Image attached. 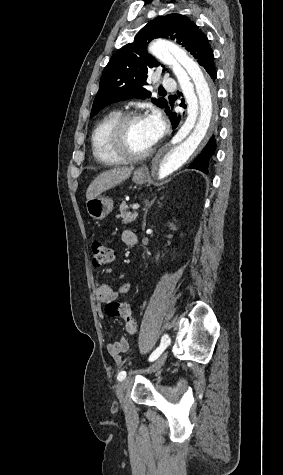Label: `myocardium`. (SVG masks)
I'll return each mask as SVG.
<instances>
[{"label": "myocardium", "mask_w": 283, "mask_h": 475, "mask_svg": "<svg viewBox=\"0 0 283 475\" xmlns=\"http://www.w3.org/2000/svg\"><path fill=\"white\" fill-rule=\"evenodd\" d=\"M141 111H129L122 114L112 125L104 144V147H107L111 144H123L125 141V135L127 133L128 127L132 121L143 117ZM156 150V144L147 152L138 156H129V157H120V158H111L100 151V158L103 162H134V164L142 163L152 156Z\"/></svg>", "instance_id": "obj_1"}]
</instances>
